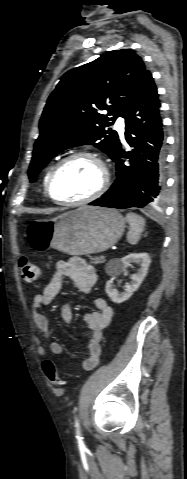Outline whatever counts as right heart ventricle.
<instances>
[{"label":"right heart ventricle","mask_w":187,"mask_h":479,"mask_svg":"<svg viewBox=\"0 0 187 479\" xmlns=\"http://www.w3.org/2000/svg\"><path fill=\"white\" fill-rule=\"evenodd\" d=\"M50 169H51V168H49V169L46 171V173L44 174L43 179H42V188H43V191H44V187H45L47 175H48Z\"/></svg>","instance_id":"e07e8e85"}]
</instances>
